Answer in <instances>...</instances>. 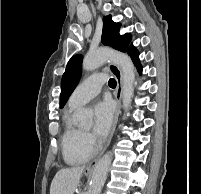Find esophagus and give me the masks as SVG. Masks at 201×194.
<instances>
[{"instance_id":"esophagus-1","label":"esophagus","mask_w":201,"mask_h":194,"mask_svg":"<svg viewBox=\"0 0 201 194\" xmlns=\"http://www.w3.org/2000/svg\"><path fill=\"white\" fill-rule=\"evenodd\" d=\"M109 69L112 72V74L115 76L116 81H117V88H116V92H115V99H116V102H117V106H116L115 116H114V120H113L110 135H109V137H108V139H107V141H106V143H105V145H104V147L102 149V152L100 153V155L97 158L92 160L87 165V167H86L87 170H92L95 167L99 157L101 156V154L106 150V148L110 144L111 139L113 137V134L115 132L116 125H117V122H118V117H119V114H120L121 98H122V91H123V75H122L121 69L117 65H115L113 63L109 64Z\"/></svg>"}]
</instances>
